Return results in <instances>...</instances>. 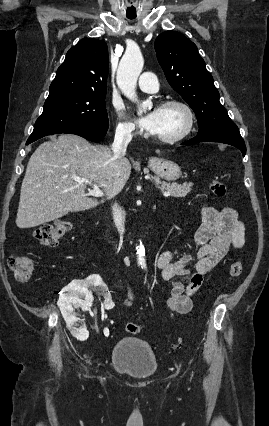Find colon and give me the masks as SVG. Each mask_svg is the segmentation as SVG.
Returning a JSON list of instances; mask_svg holds the SVG:
<instances>
[{"instance_id":"1","label":"colon","mask_w":269,"mask_h":426,"mask_svg":"<svg viewBox=\"0 0 269 426\" xmlns=\"http://www.w3.org/2000/svg\"><path fill=\"white\" fill-rule=\"evenodd\" d=\"M210 191L217 197H223L226 194V186L219 180L209 182ZM71 230V222L60 219L53 224L43 225L36 231L37 240L44 246H55L58 241ZM8 265L18 282H26L30 279L33 272V263L26 255L13 254L8 257ZM243 269L240 261L231 264L229 274L231 278H237ZM125 330L130 334H137L140 331V325L135 322H127Z\"/></svg>"}]
</instances>
